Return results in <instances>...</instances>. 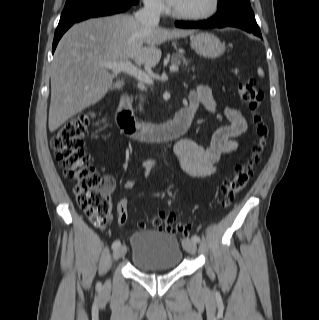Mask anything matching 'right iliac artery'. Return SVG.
<instances>
[{
  "label": "right iliac artery",
  "mask_w": 319,
  "mask_h": 320,
  "mask_svg": "<svg viewBox=\"0 0 319 320\" xmlns=\"http://www.w3.org/2000/svg\"><path fill=\"white\" fill-rule=\"evenodd\" d=\"M121 245V242L119 240H115L113 243H112V249H117L119 246Z\"/></svg>",
  "instance_id": "right-iliac-artery-1"
}]
</instances>
